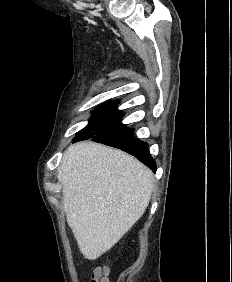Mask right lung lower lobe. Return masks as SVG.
I'll list each match as a JSON object with an SVG mask.
<instances>
[{"mask_svg":"<svg viewBox=\"0 0 232 282\" xmlns=\"http://www.w3.org/2000/svg\"><path fill=\"white\" fill-rule=\"evenodd\" d=\"M133 132V128H123L95 135L89 139L130 153L155 172L156 163L148 152V144L134 138Z\"/></svg>","mask_w":232,"mask_h":282,"instance_id":"1","label":"right lung lower lobe"}]
</instances>
